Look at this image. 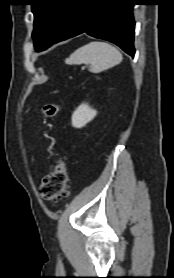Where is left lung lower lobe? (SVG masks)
I'll return each instance as SVG.
<instances>
[{"label":"left lung lower lobe","instance_id":"1","mask_svg":"<svg viewBox=\"0 0 174 278\" xmlns=\"http://www.w3.org/2000/svg\"><path fill=\"white\" fill-rule=\"evenodd\" d=\"M133 5L135 0H77L55 43L86 32L118 45L134 57Z\"/></svg>","mask_w":174,"mask_h":278}]
</instances>
